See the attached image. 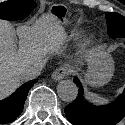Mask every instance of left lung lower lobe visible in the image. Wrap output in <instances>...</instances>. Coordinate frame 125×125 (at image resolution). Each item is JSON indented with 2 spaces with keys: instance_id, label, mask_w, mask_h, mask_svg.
Instances as JSON below:
<instances>
[{
  "instance_id": "1",
  "label": "left lung lower lobe",
  "mask_w": 125,
  "mask_h": 125,
  "mask_svg": "<svg viewBox=\"0 0 125 125\" xmlns=\"http://www.w3.org/2000/svg\"><path fill=\"white\" fill-rule=\"evenodd\" d=\"M74 83L79 87L78 96L64 109L73 125H115L125 117V90L113 103L94 106L85 100L82 84L77 77Z\"/></svg>"
}]
</instances>
